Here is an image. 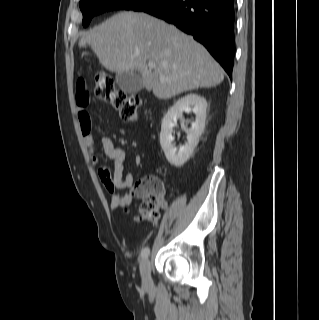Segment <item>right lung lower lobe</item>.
<instances>
[{
	"mask_svg": "<svg viewBox=\"0 0 319 320\" xmlns=\"http://www.w3.org/2000/svg\"><path fill=\"white\" fill-rule=\"evenodd\" d=\"M135 11L164 19L191 34L232 76L234 0H153Z\"/></svg>",
	"mask_w": 319,
	"mask_h": 320,
	"instance_id": "right-lung-lower-lobe-1",
	"label": "right lung lower lobe"
}]
</instances>
